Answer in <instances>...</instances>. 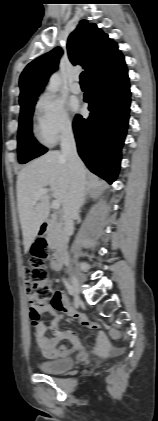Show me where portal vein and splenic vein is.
<instances>
[{"label": "portal vein and splenic vein", "instance_id": "portal-vein-and-splenic-vein-1", "mask_svg": "<svg viewBox=\"0 0 158 421\" xmlns=\"http://www.w3.org/2000/svg\"><path fill=\"white\" fill-rule=\"evenodd\" d=\"M48 193H49V190L48 189H42V190H40L35 195L33 203H36L42 195H45V194H48ZM52 208L53 209H59L60 208V202L58 200H54L52 202Z\"/></svg>", "mask_w": 158, "mask_h": 421}]
</instances>
